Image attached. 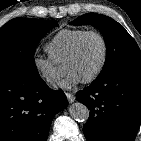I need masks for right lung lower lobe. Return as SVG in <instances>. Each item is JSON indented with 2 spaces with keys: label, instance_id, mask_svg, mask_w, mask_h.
Listing matches in <instances>:
<instances>
[{
  "label": "right lung lower lobe",
  "instance_id": "right-lung-lower-lobe-1",
  "mask_svg": "<svg viewBox=\"0 0 141 141\" xmlns=\"http://www.w3.org/2000/svg\"><path fill=\"white\" fill-rule=\"evenodd\" d=\"M67 105L39 74L0 73V141H46L53 117Z\"/></svg>",
  "mask_w": 141,
  "mask_h": 141
}]
</instances>
